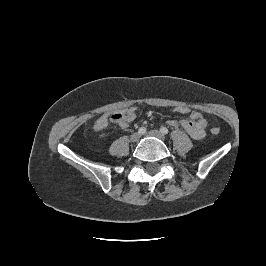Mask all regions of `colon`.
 <instances>
[{
  "label": "colon",
  "mask_w": 266,
  "mask_h": 266,
  "mask_svg": "<svg viewBox=\"0 0 266 266\" xmlns=\"http://www.w3.org/2000/svg\"><path fill=\"white\" fill-rule=\"evenodd\" d=\"M173 112L177 113V114H191L192 110L190 109V107L188 106H184V105H179L173 108ZM135 116V109L134 108H129L126 110H122V111H117L114 112L110 115V120L113 123L116 124H121L124 121H127L131 118H133ZM220 132V129L218 127H213L211 128V133L212 134H218Z\"/></svg>",
  "instance_id": "colon-1"
}]
</instances>
